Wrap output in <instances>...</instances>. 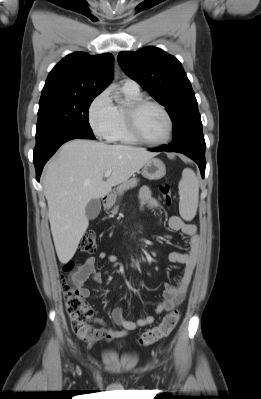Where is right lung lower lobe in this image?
<instances>
[{"instance_id": "obj_1", "label": "right lung lower lobe", "mask_w": 261, "mask_h": 399, "mask_svg": "<svg viewBox=\"0 0 261 399\" xmlns=\"http://www.w3.org/2000/svg\"><path fill=\"white\" fill-rule=\"evenodd\" d=\"M94 139L93 133H86L71 127H58L36 136L33 162L36 169L37 181L45 163L65 142L72 139Z\"/></svg>"}]
</instances>
